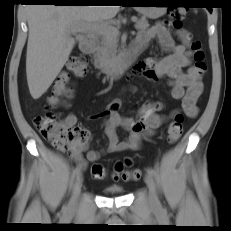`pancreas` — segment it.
<instances>
[{"label": "pancreas", "instance_id": "pancreas-1", "mask_svg": "<svg viewBox=\"0 0 231 231\" xmlns=\"http://www.w3.org/2000/svg\"><path fill=\"white\" fill-rule=\"evenodd\" d=\"M149 23L145 17L138 19L135 28L140 31L148 29ZM118 52V36L102 35L100 46L94 54L95 67L108 70L115 65Z\"/></svg>", "mask_w": 231, "mask_h": 231}]
</instances>
